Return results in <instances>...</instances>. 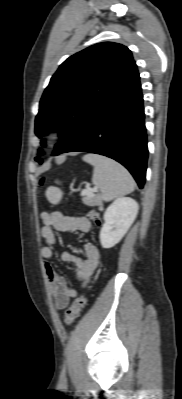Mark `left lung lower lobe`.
I'll list each match as a JSON object with an SVG mask.
<instances>
[{
  "label": "left lung lower lobe",
  "mask_w": 182,
  "mask_h": 399,
  "mask_svg": "<svg viewBox=\"0 0 182 399\" xmlns=\"http://www.w3.org/2000/svg\"><path fill=\"white\" fill-rule=\"evenodd\" d=\"M139 74L115 93L61 153L90 152L124 165L140 188L147 168V135Z\"/></svg>",
  "instance_id": "left-lung-lower-lobe-1"
}]
</instances>
